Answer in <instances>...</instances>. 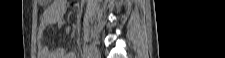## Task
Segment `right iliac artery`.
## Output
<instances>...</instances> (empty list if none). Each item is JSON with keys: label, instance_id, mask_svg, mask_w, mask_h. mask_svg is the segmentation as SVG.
I'll return each instance as SVG.
<instances>
[{"label": "right iliac artery", "instance_id": "82829eb1", "mask_svg": "<svg viewBox=\"0 0 225 58\" xmlns=\"http://www.w3.org/2000/svg\"><path fill=\"white\" fill-rule=\"evenodd\" d=\"M82 58H89V52L87 47H83Z\"/></svg>", "mask_w": 225, "mask_h": 58}]
</instances>
